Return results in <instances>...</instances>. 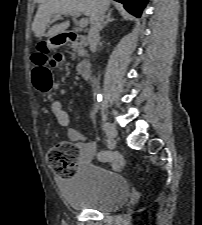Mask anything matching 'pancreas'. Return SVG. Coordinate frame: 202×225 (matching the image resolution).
Returning <instances> with one entry per match:
<instances>
[{
    "mask_svg": "<svg viewBox=\"0 0 202 225\" xmlns=\"http://www.w3.org/2000/svg\"><path fill=\"white\" fill-rule=\"evenodd\" d=\"M76 53H77L78 55H82V53H83L82 48H81V47H79L75 53H71V57H72V59H74V58H75Z\"/></svg>",
    "mask_w": 202,
    "mask_h": 225,
    "instance_id": "pancreas-1",
    "label": "pancreas"
}]
</instances>
